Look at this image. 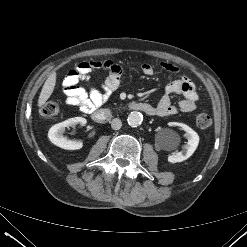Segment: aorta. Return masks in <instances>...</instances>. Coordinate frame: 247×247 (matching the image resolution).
Returning <instances> with one entry per match:
<instances>
[{"label": "aorta", "mask_w": 247, "mask_h": 247, "mask_svg": "<svg viewBox=\"0 0 247 247\" xmlns=\"http://www.w3.org/2000/svg\"><path fill=\"white\" fill-rule=\"evenodd\" d=\"M128 124L131 127H138L142 124L143 121V115L140 112L137 111H132L129 115H128Z\"/></svg>", "instance_id": "1"}]
</instances>
